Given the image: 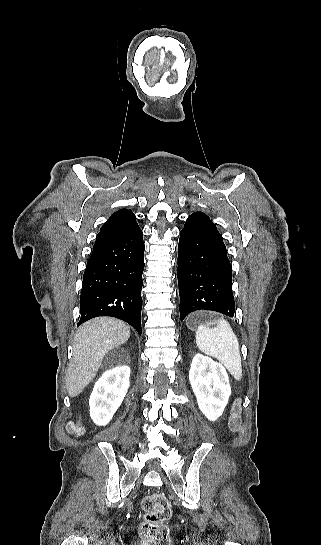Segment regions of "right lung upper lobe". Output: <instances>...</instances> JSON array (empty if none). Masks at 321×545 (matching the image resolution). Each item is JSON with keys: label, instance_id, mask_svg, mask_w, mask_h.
Wrapping results in <instances>:
<instances>
[{"label": "right lung upper lobe", "instance_id": "1", "mask_svg": "<svg viewBox=\"0 0 321 545\" xmlns=\"http://www.w3.org/2000/svg\"><path fill=\"white\" fill-rule=\"evenodd\" d=\"M137 225L136 216L131 210L121 209L113 213L101 227L97 239L113 235ZM96 239V240H97Z\"/></svg>", "mask_w": 321, "mask_h": 545}]
</instances>
